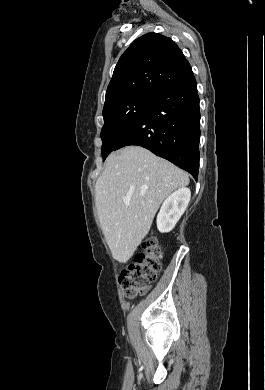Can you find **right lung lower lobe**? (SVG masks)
Here are the masks:
<instances>
[{"instance_id":"1","label":"right lung lower lobe","mask_w":265,"mask_h":390,"mask_svg":"<svg viewBox=\"0 0 265 390\" xmlns=\"http://www.w3.org/2000/svg\"><path fill=\"white\" fill-rule=\"evenodd\" d=\"M200 109L190 69L160 92L118 141L115 150L138 145L188 171H199Z\"/></svg>"}]
</instances>
